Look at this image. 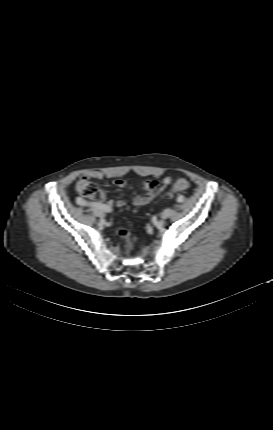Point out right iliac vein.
Returning <instances> with one entry per match:
<instances>
[{"mask_svg": "<svg viewBox=\"0 0 273 430\" xmlns=\"http://www.w3.org/2000/svg\"><path fill=\"white\" fill-rule=\"evenodd\" d=\"M93 212L97 217H100V218L104 217V212L98 207H94Z\"/></svg>", "mask_w": 273, "mask_h": 430, "instance_id": "63e3f726", "label": "right iliac vein"}]
</instances>
